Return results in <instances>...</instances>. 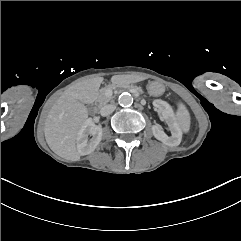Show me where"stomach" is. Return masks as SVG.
<instances>
[{
    "instance_id": "0dacf381",
    "label": "stomach",
    "mask_w": 241,
    "mask_h": 241,
    "mask_svg": "<svg viewBox=\"0 0 241 241\" xmlns=\"http://www.w3.org/2000/svg\"><path fill=\"white\" fill-rule=\"evenodd\" d=\"M147 90L152 96H161L165 92V86L159 81H151L147 85Z\"/></svg>"
}]
</instances>
